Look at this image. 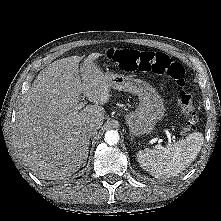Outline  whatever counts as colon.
Listing matches in <instances>:
<instances>
[{
	"mask_svg": "<svg viewBox=\"0 0 221 221\" xmlns=\"http://www.w3.org/2000/svg\"><path fill=\"white\" fill-rule=\"evenodd\" d=\"M108 58L124 71L152 72L172 78L179 86L177 96L181 112L185 117V132H191L197 127V116L193 99L184 89V67L162 52H143L133 49H111Z\"/></svg>",
	"mask_w": 221,
	"mask_h": 221,
	"instance_id": "5ec220e1",
	"label": "colon"
}]
</instances>
